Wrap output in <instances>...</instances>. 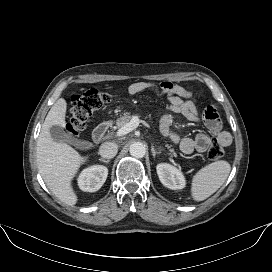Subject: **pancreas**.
Returning <instances> with one entry per match:
<instances>
[{"label":"pancreas","mask_w":272,"mask_h":272,"mask_svg":"<svg viewBox=\"0 0 272 272\" xmlns=\"http://www.w3.org/2000/svg\"><path fill=\"white\" fill-rule=\"evenodd\" d=\"M131 118L132 117L130 116L129 112L123 113V115L119 119H117V121H116V128L119 129V128L123 127L125 124L129 123ZM166 146L169 148L170 154L175 156L176 153L174 152L173 149H171V146H169V145H166Z\"/></svg>","instance_id":"cf45deb5"}]
</instances>
